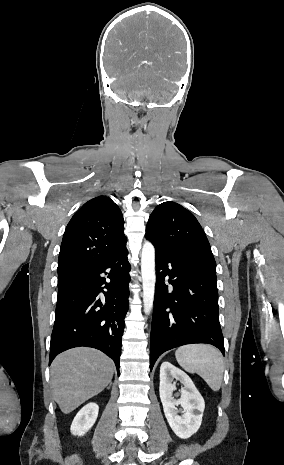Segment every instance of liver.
<instances>
[{
    "mask_svg": "<svg viewBox=\"0 0 284 465\" xmlns=\"http://www.w3.org/2000/svg\"><path fill=\"white\" fill-rule=\"evenodd\" d=\"M114 365L95 349H71L52 363L53 395L62 413L68 415L79 405L101 393L113 377Z\"/></svg>",
    "mask_w": 284,
    "mask_h": 465,
    "instance_id": "obj_1",
    "label": "liver"
}]
</instances>
